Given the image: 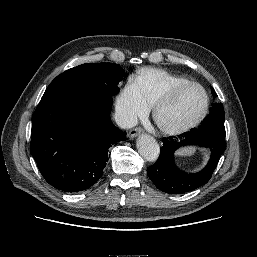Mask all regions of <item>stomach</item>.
Instances as JSON below:
<instances>
[{"label":"stomach","mask_w":257,"mask_h":257,"mask_svg":"<svg viewBox=\"0 0 257 257\" xmlns=\"http://www.w3.org/2000/svg\"><path fill=\"white\" fill-rule=\"evenodd\" d=\"M195 149L193 147H185V148H181L178 151V155L180 156H189L192 155L194 153Z\"/></svg>","instance_id":"obj_1"}]
</instances>
